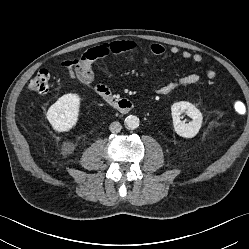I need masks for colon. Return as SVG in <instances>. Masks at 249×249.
Listing matches in <instances>:
<instances>
[{
	"label": "colon",
	"mask_w": 249,
	"mask_h": 249,
	"mask_svg": "<svg viewBox=\"0 0 249 249\" xmlns=\"http://www.w3.org/2000/svg\"><path fill=\"white\" fill-rule=\"evenodd\" d=\"M50 73L47 70H40L28 82V89L37 94H44L49 89ZM233 110L237 114H243L245 105L242 101L236 100L233 103Z\"/></svg>",
	"instance_id": "obj_1"
}]
</instances>
